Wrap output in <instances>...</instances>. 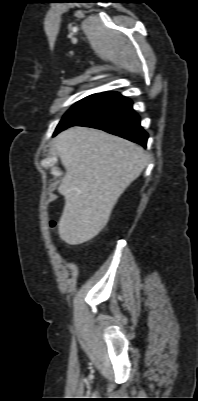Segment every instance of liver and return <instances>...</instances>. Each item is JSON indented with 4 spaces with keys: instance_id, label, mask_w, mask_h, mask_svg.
I'll return each instance as SVG.
<instances>
[{
    "instance_id": "liver-1",
    "label": "liver",
    "mask_w": 198,
    "mask_h": 401,
    "mask_svg": "<svg viewBox=\"0 0 198 401\" xmlns=\"http://www.w3.org/2000/svg\"><path fill=\"white\" fill-rule=\"evenodd\" d=\"M66 173L58 187L65 205L58 223L60 238L83 244L107 224L126 188L148 164L144 149L101 130L71 127L55 139Z\"/></svg>"
}]
</instances>
